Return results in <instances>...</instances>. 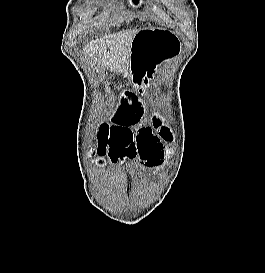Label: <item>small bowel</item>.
Instances as JSON below:
<instances>
[{"label":"small bowel","instance_id":"obj_1","mask_svg":"<svg viewBox=\"0 0 265 273\" xmlns=\"http://www.w3.org/2000/svg\"><path fill=\"white\" fill-rule=\"evenodd\" d=\"M126 97L139 103L138 95L127 94ZM128 109L129 117L121 116L122 110H120L119 116L115 117L117 124L101 125L98 155H107L114 164L125 159L138 158L144 169L158 173L166 159L162 139L151 126H144L138 134H134L130 128H134V124H141L142 115H145L146 111L142 110L144 104H128ZM92 128H96V125H92Z\"/></svg>","mask_w":265,"mask_h":273}]
</instances>
